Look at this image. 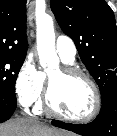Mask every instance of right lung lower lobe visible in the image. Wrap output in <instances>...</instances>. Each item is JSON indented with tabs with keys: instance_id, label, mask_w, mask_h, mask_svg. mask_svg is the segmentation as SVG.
Masks as SVG:
<instances>
[{
	"instance_id": "1",
	"label": "right lung lower lobe",
	"mask_w": 117,
	"mask_h": 136,
	"mask_svg": "<svg viewBox=\"0 0 117 136\" xmlns=\"http://www.w3.org/2000/svg\"><path fill=\"white\" fill-rule=\"evenodd\" d=\"M17 106L16 97L10 94L0 93V123L8 120Z\"/></svg>"
}]
</instances>
